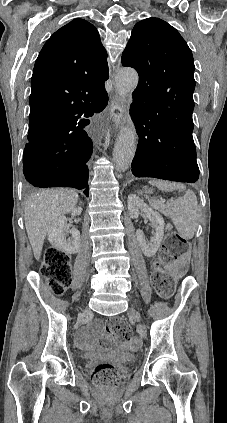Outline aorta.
Returning a JSON list of instances; mask_svg holds the SVG:
<instances>
[{"label": "aorta", "mask_w": 227, "mask_h": 423, "mask_svg": "<svg viewBox=\"0 0 227 423\" xmlns=\"http://www.w3.org/2000/svg\"><path fill=\"white\" fill-rule=\"evenodd\" d=\"M138 84V74L132 68L120 69L115 76V88L120 97L122 110L126 108L124 104L131 101V94ZM127 125H123L117 138L113 150V162L118 171H126L132 163L136 151V132L126 114Z\"/></svg>", "instance_id": "1"}]
</instances>
